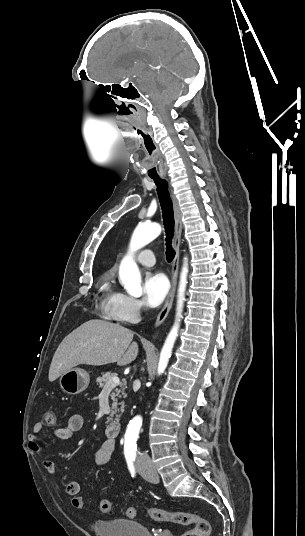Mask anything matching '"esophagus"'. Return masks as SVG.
I'll return each instance as SVG.
<instances>
[{
	"mask_svg": "<svg viewBox=\"0 0 305 536\" xmlns=\"http://www.w3.org/2000/svg\"><path fill=\"white\" fill-rule=\"evenodd\" d=\"M172 198H173V204H174V215H175V257L173 259L172 264V284L170 292L165 300V304L160 311V313L157 316L155 327H158L160 324L164 322L166 319L168 313L171 310L176 286H177V277H178V269H179V249H180V243H181V234H182V213L180 210V207L178 205L177 199L173 193V190H171Z\"/></svg>",
	"mask_w": 305,
	"mask_h": 536,
	"instance_id": "1",
	"label": "esophagus"
}]
</instances>
